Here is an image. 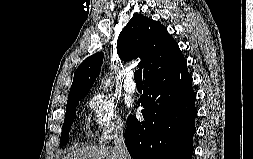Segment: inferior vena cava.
I'll return each mask as SVG.
<instances>
[{"label": "inferior vena cava", "instance_id": "602c4592", "mask_svg": "<svg viewBox=\"0 0 253 159\" xmlns=\"http://www.w3.org/2000/svg\"><path fill=\"white\" fill-rule=\"evenodd\" d=\"M114 149L118 154V159H131L126 148L122 127H118L114 133Z\"/></svg>", "mask_w": 253, "mask_h": 159}]
</instances>
